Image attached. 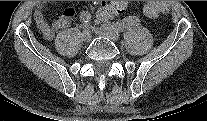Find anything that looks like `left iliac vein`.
<instances>
[{"label":"left iliac vein","mask_w":207,"mask_h":121,"mask_svg":"<svg viewBox=\"0 0 207 121\" xmlns=\"http://www.w3.org/2000/svg\"><path fill=\"white\" fill-rule=\"evenodd\" d=\"M92 30L98 36L107 37L110 40H112L113 42H117L120 38L119 32L109 25L99 27V28L93 27Z\"/></svg>","instance_id":"left-iliac-vein-1"}]
</instances>
